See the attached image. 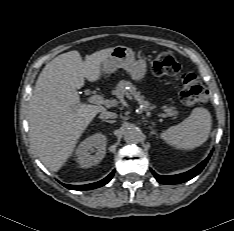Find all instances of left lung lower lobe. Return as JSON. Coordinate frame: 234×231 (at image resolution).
<instances>
[{"label":"left lung lower lobe","mask_w":234,"mask_h":231,"mask_svg":"<svg viewBox=\"0 0 234 231\" xmlns=\"http://www.w3.org/2000/svg\"><path fill=\"white\" fill-rule=\"evenodd\" d=\"M209 159H210V155L203 162L197 165L195 168L189 170L188 172L177 174V175L161 176V175L156 174L153 170H152V173L155 176L156 180L162 184H179V183L188 181L194 178L196 175H198L203 170V168L205 167Z\"/></svg>","instance_id":"1"}]
</instances>
